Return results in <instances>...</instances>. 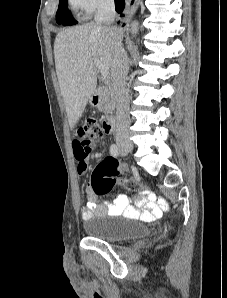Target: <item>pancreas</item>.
Here are the masks:
<instances>
[{"instance_id":"1","label":"pancreas","mask_w":227,"mask_h":298,"mask_svg":"<svg viewBox=\"0 0 227 298\" xmlns=\"http://www.w3.org/2000/svg\"><path fill=\"white\" fill-rule=\"evenodd\" d=\"M102 102L98 107L99 111L109 114L112 113L115 107V101L112 94V90L109 88H102L100 91Z\"/></svg>"}]
</instances>
